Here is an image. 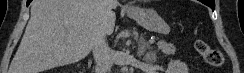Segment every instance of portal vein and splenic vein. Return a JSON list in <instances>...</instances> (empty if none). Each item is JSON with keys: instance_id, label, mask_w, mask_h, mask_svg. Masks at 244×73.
<instances>
[{"instance_id": "18ae733b", "label": "portal vein and splenic vein", "mask_w": 244, "mask_h": 73, "mask_svg": "<svg viewBox=\"0 0 244 73\" xmlns=\"http://www.w3.org/2000/svg\"><path fill=\"white\" fill-rule=\"evenodd\" d=\"M154 42H155V40H149V43H151V44L154 43Z\"/></svg>"}]
</instances>
